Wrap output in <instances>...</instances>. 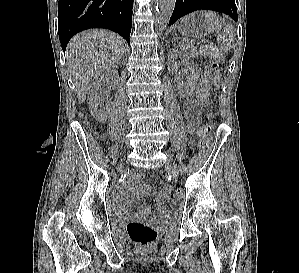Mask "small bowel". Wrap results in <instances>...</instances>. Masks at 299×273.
<instances>
[{
	"mask_svg": "<svg viewBox=\"0 0 299 273\" xmlns=\"http://www.w3.org/2000/svg\"><path fill=\"white\" fill-rule=\"evenodd\" d=\"M184 113L187 121V125L191 130H194L199 124V115L195 110V103L193 100L188 99L184 104ZM171 188L168 185H164L154 196L158 204V214L160 218L170 220L174 217L175 212L172 208L168 207L167 201ZM151 194L150 187L142 180L140 175H133L124 189L118 194V204L120 212L123 215L128 214L127 204L135 201L141 195ZM138 219H150L151 210L148 205H142L138 208L135 216Z\"/></svg>",
	"mask_w": 299,
	"mask_h": 273,
	"instance_id": "1",
	"label": "small bowel"
}]
</instances>
